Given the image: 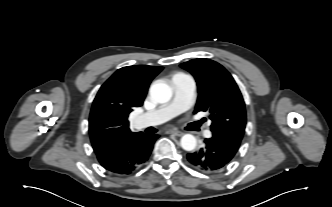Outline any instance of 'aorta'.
<instances>
[{
    "label": "aorta",
    "instance_id": "aorta-1",
    "mask_svg": "<svg viewBox=\"0 0 332 207\" xmlns=\"http://www.w3.org/2000/svg\"><path fill=\"white\" fill-rule=\"evenodd\" d=\"M150 96L157 103H166L172 97V89L165 83H154L150 87ZM181 147L186 151H192L196 148L197 140L191 134H185L180 141Z\"/></svg>",
    "mask_w": 332,
    "mask_h": 207
}]
</instances>
